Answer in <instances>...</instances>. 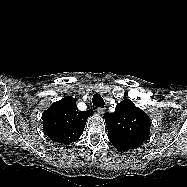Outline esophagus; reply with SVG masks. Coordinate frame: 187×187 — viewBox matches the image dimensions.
<instances>
[{"instance_id":"obj_1","label":"esophagus","mask_w":187,"mask_h":187,"mask_svg":"<svg viewBox=\"0 0 187 187\" xmlns=\"http://www.w3.org/2000/svg\"><path fill=\"white\" fill-rule=\"evenodd\" d=\"M105 108L104 107H98L97 108V112L99 113V114H103L104 112H105Z\"/></svg>"}]
</instances>
